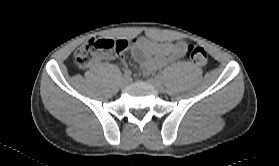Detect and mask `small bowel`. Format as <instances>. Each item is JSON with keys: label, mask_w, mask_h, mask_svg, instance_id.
<instances>
[{"label": "small bowel", "mask_w": 279, "mask_h": 166, "mask_svg": "<svg viewBox=\"0 0 279 166\" xmlns=\"http://www.w3.org/2000/svg\"><path fill=\"white\" fill-rule=\"evenodd\" d=\"M185 53L186 43L183 41L157 42L145 37L133 40L132 55L139 62L146 75L164 67L173 60L182 58ZM118 56L120 59L124 58L122 53ZM107 58H112V55H107Z\"/></svg>", "instance_id": "c3829d8e"}]
</instances>
